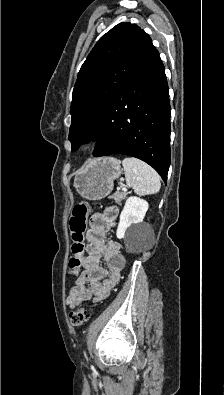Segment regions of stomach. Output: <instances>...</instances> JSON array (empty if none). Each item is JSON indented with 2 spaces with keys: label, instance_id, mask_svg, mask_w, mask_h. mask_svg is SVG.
<instances>
[{
  "label": "stomach",
  "instance_id": "1",
  "mask_svg": "<svg viewBox=\"0 0 224 395\" xmlns=\"http://www.w3.org/2000/svg\"><path fill=\"white\" fill-rule=\"evenodd\" d=\"M121 173L120 161L113 157L92 159L76 173L74 187L83 198L100 200L111 193Z\"/></svg>",
  "mask_w": 224,
  "mask_h": 395
}]
</instances>
